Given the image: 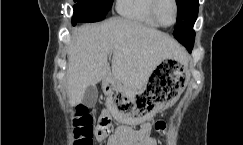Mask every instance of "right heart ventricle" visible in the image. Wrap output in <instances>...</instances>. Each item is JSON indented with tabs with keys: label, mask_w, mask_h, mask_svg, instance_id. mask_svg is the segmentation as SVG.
<instances>
[{
	"label": "right heart ventricle",
	"mask_w": 243,
	"mask_h": 145,
	"mask_svg": "<svg viewBox=\"0 0 243 145\" xmlns=\"http://www.w3.org/2000/svg\"><path fill=\"white\" fill-rule=\"evenodd\" d=\"M152 0H117L118 13L128 19L135 20L150 27L159 28L151 11Z\"/></svg>",
	"instance_id": "right-heart-ventricle-1"
}]
</instances>
